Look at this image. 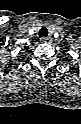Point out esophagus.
I'll use <instances>...</instances> for the list:
<instances>
[{
  "label": "esophagus",
  "instance_id": "1",
  "mask_svg": "<svg viewBox=\"0 0 81 124\" xmlns=\"http://www.w3.org/2000/svg\"><path fill=\"white\" fill-rule=\"evenodd\" d=\"M52 41L51 36L41 38L42 43H50Z\"/></svg>",
  "mask_w": 81,
  "mask_h": 124
}]
</instances>
